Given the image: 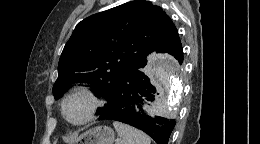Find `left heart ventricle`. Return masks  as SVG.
<instances>
[{
  "label": "left heart ventricle",
  "mask_w": 260,
  "mask_h": 144,
  "mask_svg": "<svg viewBox=\"0 0 260 144\" xmlns=\"http://www.w3.org/2000/svg\"><path fill=\"white\" fill-rule=\"evenodd\" d=\"M89 106L90 102L85 96L73 97L66 103V115L71 121H80L86 116Z\"/></svg>",
  "instance_id": "obj_1"
}]
</instances>
